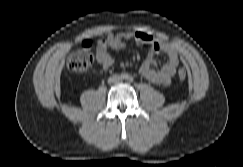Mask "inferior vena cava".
<instances>
[{
    "label": "inferior vena cava",
    "instance_id": "1",
    "mask_svg": "<svg viewBox=\"0 0 243 167\" xmlns=\"http://www.w3.org/2000/svg\"><path fill=\"white\" fill-rule=\"evenodd\" d=\"M112 82H114V83H117V82H119V78H116V79H112Z\"/></svg>",
    "mask_w": 243,
    "mask_h": 167
}]
</instances>
